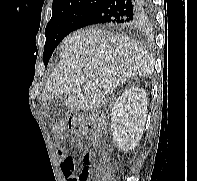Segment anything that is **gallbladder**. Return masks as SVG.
I'll use <instances>...</instances> for the list:
<instances>
[{"mask_svg":"<svg viewBox=\"0 0 197 181\" xmlns=\"http://www.w3.org/2000/svg\"><path fill=\"white\" fill-rule=\"evenodd\" d=\"M66 97L65 96H61V97H57L55 98L51 103H50V111L54 114V115H58L62 112L65 111L66 109Z\"/></svg>","mask_w":197,"mask_h":181,"instance_id":"1","label":"gallbladder"}]
</instances>
